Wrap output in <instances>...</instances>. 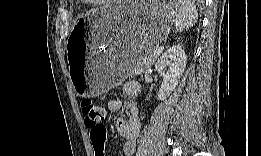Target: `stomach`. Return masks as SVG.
Here are the masks:
<instances>
[{"label": "stomach", "instance_id": "stomach-1", "mask_svg": "<svg viewBox=\"0 0 261 156\" xmlns=\"http://www.w3.org/2000/svg\"><path fill=\"white\" fill-rule=\"evenodd\" d=\"M176 14L170 2H111L87 13L67 43L72 85L82 97H96L123 81L148 51L167 36ZM83 40L81 56L75 40Z\"/></svg>", "mask_w": 261, "mask_h": 156}]
</instances>
